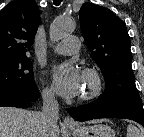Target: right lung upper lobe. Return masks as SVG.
<instances>
[{"label":"right lung upper lobe","mask_w":144,"mask_h":137,"mask_svg":"<svg viewBox=\"0 0 144 137\" xmlns=\"http://www.w3.org/2000/svg\"><path fill=\"white\" fill-rule=\"evenodd\" d=\"M39 23L35 0H14L0 11V64L27 57Z\"/></svg>","instance_id":"cb5924a9"}]
</instances>
